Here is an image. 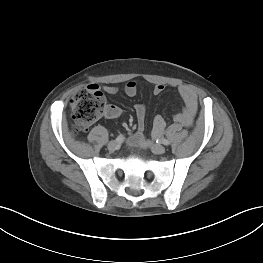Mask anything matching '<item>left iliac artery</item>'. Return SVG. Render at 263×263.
Masks as SVG:
<instances>
[{"mask_svg": "<svg viewBox=\"0 0 263 263\" xmlns=\"http://www.w3.org/2000/svg\"><path fill=\"white\" fill-rule=\"evenodd\" d=\"M158 141L160 143L166 145V146H168L170 144V142L167 139H164V138H161V139L159 138V139H157V143H158Z\"/></svg>", "mask_w": 263, "mask_h": 263, "instance_id": "1", "label": "left iliac artery"}]
</instances>
